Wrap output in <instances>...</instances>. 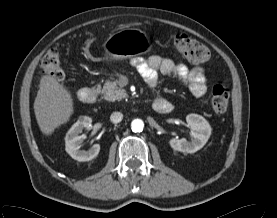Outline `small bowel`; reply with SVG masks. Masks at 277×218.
<instances>
[{
    "label": "small bowel",
    "mask_w": 277,
    "mask_h": 218,
    "mask_svg": "<svg viewBox=\"0 0 277 218\" xmlns=\"http://www.w3.org/2000/svg\"><path fill=\"white\" fill-rule=\"evenodd\" d=\"M131 63L144 78L147 86L151 89L157 87L158 75L160 73L165 76H171L185 84L191 94L195 97H202L207 91V79L201 67L189 69L183 63H175L172 59L161 57L159 55H153L148 59L135 58ZM163 100L166 99L162 97L155 98L153 103L155 111L163 113L158 109ZM170 110L171 108L167 112Z\"/></svg>",
    "instance_id": "c3829d8e"
}]
</instances>
